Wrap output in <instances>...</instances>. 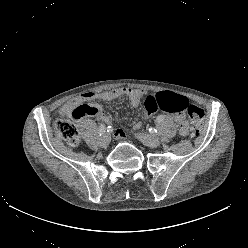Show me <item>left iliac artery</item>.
Instances as JSON below:
<instances>
[{
    "instance_id": "1",
    "label": "left iliac artery",
    "mask_w": 248,
    "mask_h": 248,
    "mask_svg": "<svg viewBox=\"0 0 248 248\" xmlns=\"http://www.w3.org/2000/svg\"><path fill=\"white\" fill-rule=\"evenodd\" d=\"M152 132H155V133H156V132H157V130H156V129H153V130H152Z\"/></svg>"
}]
</instances>
